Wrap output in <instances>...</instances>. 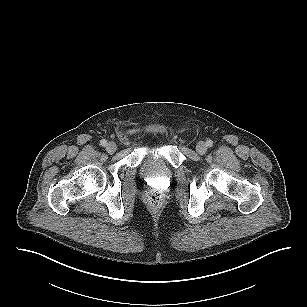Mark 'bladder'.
Listing matches in <instances>:
<instances>
[{
    "mask_svg": "<svg viewBox=\"0 0 307 307\" xmlns=\"http://www.w3.org/2000/svg\"><path fill=\"white\" fill-rule=\"evenodd\" d=\"M141 173L144 177L157 179H170L172 171L164 160L157 155L146 156L141 164Z\"/></svg>",
    "mask_w": 307,
    "mask_h": 307,
    "instance_id": "1",
    "label": "bladder"
}]
</instances>
